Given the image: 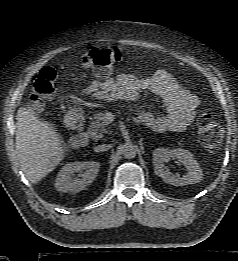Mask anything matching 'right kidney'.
Listing matches in <instances>:
<instances>
[{
  "mask_svg": "<svg viewBox=\"0 0 238 261\" xmlns=\"http://www.w3.org/2000/svg\"><path fill=\"white\" fill-rule=\"evenodd\" d=\"M100 164L94 161L73 162L64 165L55 181L57 191L79 192L90 185L98 174ZM75 172L81 178H72Z\"/></svg>",
  "mask_w": 238,
  "mask_h": 261,
  "instance_id": "right-kidney-1",
  "label": "right kidney"
}]
</instances>
